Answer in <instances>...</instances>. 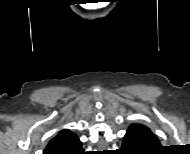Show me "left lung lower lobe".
Instances as JSON below:
<instances>
[{"instance_id": "obj_1", "label": "left lung lower lobe", "mask_w": 190, "mask_h": 154, "mask_svg": "<svg viewBox=\"0 0 190 154\" xmlns=\"http://www.w3.org/2000/svg\"><path fill=\"white\" fill-rule=\"evenodd\" d=\"M159 146L158 138L148 127L133 124L124 136L122 150L129 154H143V152Z\"/></svg>"}]
</instances>
